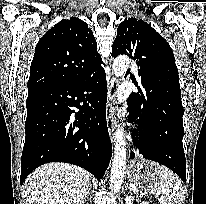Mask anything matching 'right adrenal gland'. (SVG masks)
I'll return each instance as SVG.
<instances>
[{
    "mask_svg": "<svg viewBox=\"0 0 206 204\" xmlns=\"http://www.w3.org/2000/svg\"><path fill=\"white\" fill-rule=\"evenodd\" d=\"M90 189H91V185L89 186V188H88V190H87L86 197H85V199L82 201V204H85V200H86V198L89 196Z\"/></svg>",
    "mask_w": 206,
    "mask_h": 204,
    "instance_id": "obj_1",
    "label": "right adrenal gland"
}]
</instances>
